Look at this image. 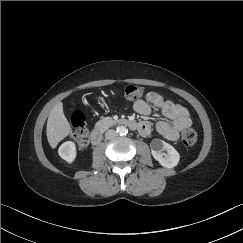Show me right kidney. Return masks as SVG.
<instances>
[{
    "mask_svg": "<svg viewBox=\"0 0 243 243\" xmlns=\"http://www.w3.org/2000/svg\"><path fill=\"white\" fill-rule=\"evenodd\" d=\"M58 153L63 160L71 164L72 162H74L77 155L75 143L72 141H67L63 143L59 147Z\"/></svg>",
    "mask_w": 243,
    "mask_h": 243,
    "instance_id": "obj_1",
    "label": "right kidney"
}]
</instances>
